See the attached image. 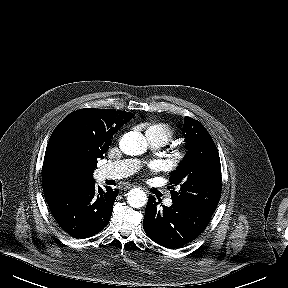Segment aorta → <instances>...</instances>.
Masks as SVG:
<instances>
[{"label":"aorta","mask_w":288,"mask_h":288,"mask_svg":"<svg viewBox=\"0 0 288 288\" xmlns=\"http://www.w3.org/2000/svg\"><path fill=\"white\" fill-rule=\"evenodd\" d=\"M119 145L125 154L131 156L141 155L147 149L145 137L136 131L126 133L121 138ZM127 203L133 208H140L147 203V195L141 189H131L127 194Z\"/></svg>","instance_id":"1"}]
</instances>
